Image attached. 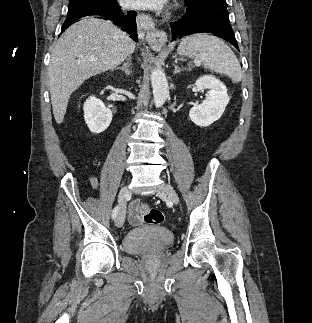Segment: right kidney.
Returning a JSON list of instances; mask_svg holds the SVG:
<instances>
[{
    "instance_id": "obj_1",
    "label": "right kidney",
    "mask_w": 312,
    "mask_h": 323,
    "mask_svg": "<svg viewBox=\"0 0 312 323\" xmlns=\"http://www.w3.org/2000/svg\"><path fill=\"white\" fill-rule=\"evenodd\" d=\"M84 120L93 134H101L112 122V112L103 102L90 96L84 104Z\"/></svg>"
}]
</instances>
